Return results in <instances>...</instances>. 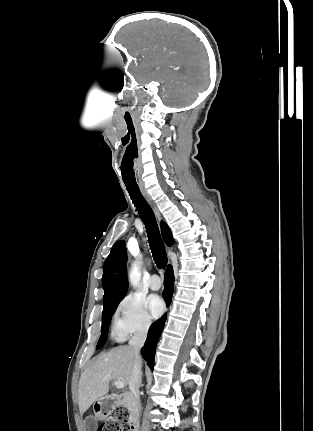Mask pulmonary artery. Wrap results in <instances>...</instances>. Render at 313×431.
<instances>
[{
    "label": "pulmonary artery",
    "instance_id": "1",
    "mask_svg": "<svg viewBox=\"0 0 313 431\" xmlns=\"http://www.w3.org/2000/svg\"><path fill=\"white\" fill-rule=\"evenodd\" d=\"M149 287L152 290H158L161 287V280L158 275L153 274L149 280Z\"/></svg>",
    "mask_w": 313,
    "mask_h": 431
}]
</instances>
